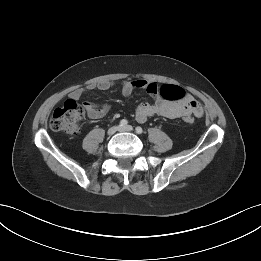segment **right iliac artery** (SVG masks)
<instances>
[{"instance_id": "obj_1", "label": "right iliac artery", "mask_w": 261, "mask_h": 261, "mask_svg": "<svg viewBox=\"0 0 261 261\" xmlns=\"http://www.w3.org/2000/svg\"><path fill=\"white\" fill-rule=\"evenodd\" d=\"M127 123H128V121L126 120V119H122L121 121H120V126H126L127 125Z\"/></svg>"}]
</instances>
